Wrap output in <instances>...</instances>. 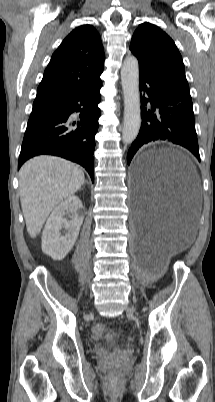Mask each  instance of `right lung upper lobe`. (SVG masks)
<instances>
[{
    "mask_svg": "<svg viewBox=\"0 0 215 402\" xmlns=\"http://www.w3.org/2000/svg\"><path fill=\"white\" fill-rule=\"evenodd\" d=\"M104 49L91 25L74 29L53 53L34 103L58 102L95 82L103 72Z\"/></svg>",
    "mask_w": 215,
    "mask_h": 402,
    "instance_id": "right-lung-upper-lobe-1",
    "label": "right lung upper lobe"
}]
</instances>
